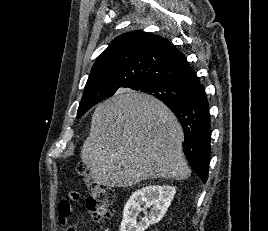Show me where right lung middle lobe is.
Returning a JSON list of instances; mask_svg holds the SVG:
<instances>
[{
	"label": "right lung middle lobe",
	"mask_w": 268,
	"mask_h": 231,
	"mask_svg": "<svg viewBox=\"0 0 268 231\" xmlns=\"http://www.w3.org/2000/svg\"><path fill=\"white\" fill-rule=\"evenodd\" d=\"M131 89L138 92L150 94L152 96H155L161 101H169V100L181 101L186 99L190 94V91L171 86L164 82L152 81V80L137 83ZM94 105L95 104L89 102L85 103L80 102L77 118H80L82 115H84Z\"/></svg>",
	"instance_id": "dd1d6c3e"
}]
</instances>
